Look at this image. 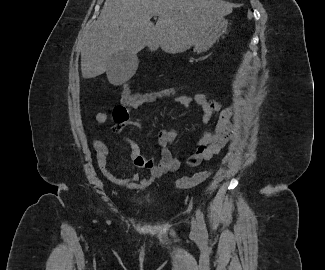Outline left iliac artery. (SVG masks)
<instances>
[{
	"instance_id": "left-iliac-artery-1",
	"label": "left iliac artery",
	"mask_w": 325,
	"mask_h": 270,
	"mask_svg": "<svg viewBox=\"0 0 325 270\" xmlns=\"http://www.w3.org/2000/svg\"><path fill=\"white\" fill-rule=\"evenodd\" d=\"M196 218H197V224H198L200 233L203 238H206L208 235L207 228H206V224L204 221L203 213L199 208L196 211Z\"/></svg>"
}]
</instances>
